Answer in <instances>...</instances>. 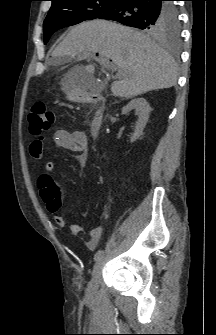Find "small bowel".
Masks as SVG:
<instances>
[{
  "label": "small bowel",
  "instance_id": "1",
  "mask_svg": "<svg viewBox=\"0 0 216 335\" xmlns=\"http://www.w3.org/2000/svg\"><path fill=\"white\" fill-rule=\"evenodd\" d=\"M55 143L64 149L76 152L81 156H85L88 151V139L83 131H68L65 129H58L54 132ZM45 146V139L43 137L35 138L29 146V154L33 159L41 158ZM55 164L53 161H48L44 166V172L38 178V188L40 191L41 198L46 204L48 211L53 214L55 223L59 227H64L66 221L58 214V206L54 200H45L43 193L52 188V173L54 171ZM82 226L79 224H71L70 231L72 234L77 235L82 231ZM103 233V227L96 226L90 230L89 240L86 242V246L89 249H94L97 246L98 240Z\"/></svg>",
  "mask_w": 216,
  "mask_h": 335
}]
</instances>
